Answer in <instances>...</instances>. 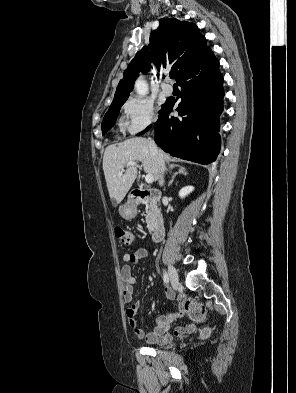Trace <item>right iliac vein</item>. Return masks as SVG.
<instances>
[{"label": "right iliac vein", "mask_w": 296, "mask_h": 393, "mask_svg": "<svg viewBox=\"0 0 296 393\" xmlns=\"http://www.w3.org/2000/svg\"><path fill=\"white\" fill-rule=\"evenodd\" d=\"M168 274L173 287L177 289L179 286V277L176 269L172 265L168 266Z\"/></svg>", "instance_id": "right-iliac-vein-1"}]
</instances>
